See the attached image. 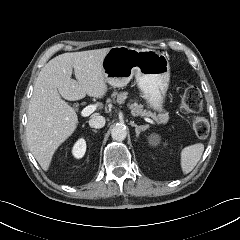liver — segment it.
<instances>
[{
  "label": "liver",
  "mask_w": 240,
  "mask_h": 240,
  "mask_svg": "<svg viewBox=\"0 0 240 240\" xmlns=\"http://www.w3.org/2000/svg\"><path fill=\"white\" fill-rule=\"evenodd\" d=\"M110 48L64 53L51 59L40 71L28 108L26 138L28 147L45 171L58 147L78 124L75 110L68 105L107 92L102 61ZM74 69L76 80L71 78ZM95 115V114H94Z\"/></svg>",
  "instance_id": "6515ba94"
}]
</instances>
